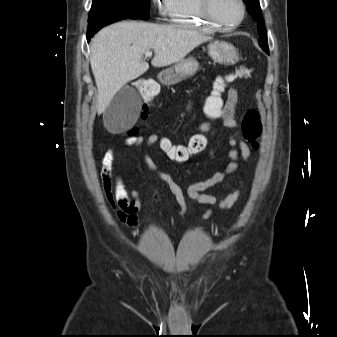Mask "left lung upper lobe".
Returning a JSON list of instances; mask_svg holds the SVG:
<instances>
[{"instance_id": "obj_1", "label": "left lung upper lobe", "mask_w": 337, "mask_h": 337, "mask_svg": "<svg viewBox=\"0 0 337 337\" xmlns=\"http://www.w3.org/2000/svg\"><path fill=\"white\" fill-rule=\"evenodd\" d=\"M247 5L248 12L252 15L254 20L258 21V32L260 34L259 37V45L260 47L269 54L268 41L266 28L264 27V20L261 16V8L258 0H243Z\"/></svg>"}]
</instances>
